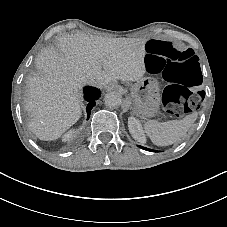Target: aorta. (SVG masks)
<instances>
[{
	"label": "aorta",
	"instance_id": "1",
	"mask_svg": "<svg viewBox=\"0 0 227 227\" xmlns=\"http://www.w3.org/2000/svg\"><path fill=\"white\" fill-rule=\"evenodd\" d=\"M104 102L107 107H116L122 104V95L117 91H110L105 94Z\"/></svg>",
	"mask_w": 227,
	"mask_h": 227
}]
</instances>
